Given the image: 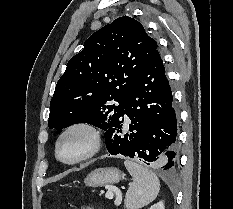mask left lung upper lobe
<instances>
[{
    "label": "left lung upper lobe",
    "mask_w": 233,
    "mask_h": 209,
    "mask_svg": "<svg viewBox=\"0 0 233 209\" xmlns=\"http://www.w3.org/2000/svg\"><path fill=\"white\" fill-rule=\"evenodd\" d=\"M155 52L156 41L128 16L93 33L57 82L48 127L88 123L106 132L121 116L132 84Z\"/></svg>",
    "instance_id": "1"
}]
</instances>
